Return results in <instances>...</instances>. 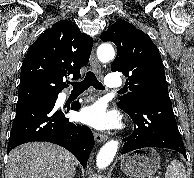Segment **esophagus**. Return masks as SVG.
I'll return each instance as SVG.
<instances>
[{
	"label": "esophagus",
	"instance_id": "obj_1",
	"mask_svg": "<svg viewBox=\"0 0 194 178\" xmlns=\"http://www.w3.org/2000/svg\"><path fill=\"white\" fill-rule=\"evenodd\" d=\"M90 66H91V68L96 73H100L101 68H100L99 62H98V60L96 58L95 49L94 48H93L92 53H91V56H90ZM94 137H95V140L98 143L105 142L108 139V136L107 135L100 134V133H97V132L94 133Z\"/></svg>",
	"mask_w": 194,
	"mask_h": 178
}]
</instances>
